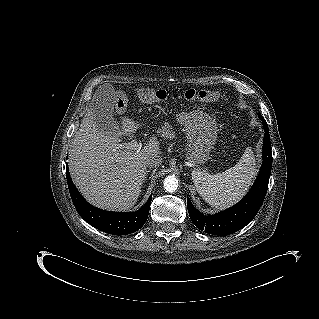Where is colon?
Listing matches in <instances>:
<instances>
[{
    "instance_id": "colon-1",
    "label": "colon",
    "mask_w": 319,
    "mask_h": 319,
    "mask_svg": "<svg viewBox=\"0 0 319 319\" xmlns=\"http://www.w3.org/2000/svg\"><path fill=\"white\" fill-rule=\"evenodd\" d=\"M138 97L146 103L164 101L168 98V93L163 89H154L151 87H141L137 90ZM220 95L209 90L188 89L180 94H174V101H216ZM128 99L123 93H118L116 97V107L123 112L127 107Z\"/></svg>"
}]
</instances>
